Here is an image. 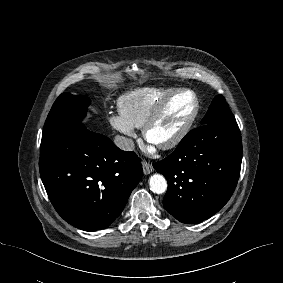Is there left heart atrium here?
Instances as JSON below:
<instances>
[{
	"label": "left heart atrium",
	"mask_w": 283,
	"mask_h": 283,
	"mask_svg": "<svg viewBox=\"0 0 283 283\" xmlns=\"http://www.w3.org/2000/svg\"><path fill=\"white\" fill-rule=\"evenodd\" d=\"M150 151H154V149L151 147V148H150Z\"/></svg>",
	"instance_id": "left-heart-atrium-1"
}]
</instances>
